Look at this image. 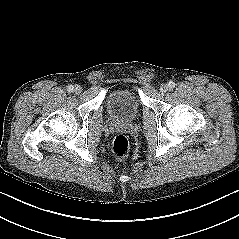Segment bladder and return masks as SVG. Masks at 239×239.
<instances>
[{"label":"bladder","instance_id":"1","mask_svg":"<svg viewBox=\"0 0 239 239\" xmlns=\"http://www.w3.org/2000/svg\"><path fill=\"white\" fill-rule=\"evenodd\" d=\"M140 106L138 95L131 89H116L108 95L107 108L115 119L122 121L135 119L140 112Z\"/></svg>","mask_w":239,"mask_h":239}]
</instances>
